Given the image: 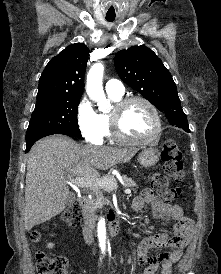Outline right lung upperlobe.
<instances>
[{
  "instance_id": "obj_1",
  "label": "right lung upper lobe",
  "mask_w": 221,
  "mask_h": 274,
  "mask_svg": "<svg viewBox=\"0 0 221 274\" xmlns=\"http://www.w3.org/2000/svg\"><path fill=\"white\" fill-rule=\"evenodd\" d=\"M88 55L85 44L75 43L53 57L39 79L37 99L82 96Z\"/></svg>"
}]
</instances>
